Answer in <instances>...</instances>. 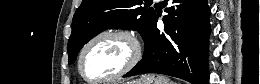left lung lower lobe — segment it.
<instances>
[{"instance_id": "1", "label": "left lung lower lobe", "mask_w": 260, "mask_h": 84, "mask_svg": "<svg viewBox=\"0 0 260 84\" xmlns=\"http://www.w3.org/2000/svg\"><path fill=\"white\" fill-rule=\"evenodd\" d=\"M164 1V6L167 5ZM163 17L164 32L155 15L145 40L142 60L124 77L161 73L192 84H208L210 8L207 0H173Z\"/></svg>"}]
</instances>
